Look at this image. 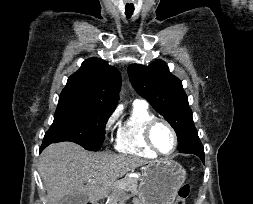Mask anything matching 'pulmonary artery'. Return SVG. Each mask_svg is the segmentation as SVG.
<instances>
[{
  "label": "pulmonary artery",
  "mask_w": 253,
  "mask_h": 204,
  "mask_svg": "<svg viewBox=\"0 0 253 204\" xmlns=\"http://www.w3.org/2000/svg\"><path fill=\"white\" fill-rule=\"evenodd\" d=\"M134 104H141V105L147 106V102L145 100H141V99H136L134 101Z\"/></svg>",
  "instance_id": "obj_1"
}]
</instances>
